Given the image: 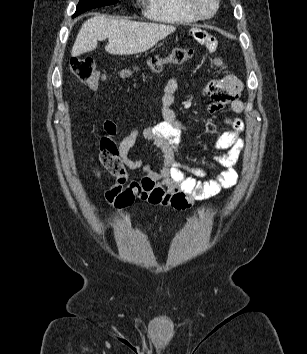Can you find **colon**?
<instances>
[{
	"label": "colon",
	"mask_w": 307,
	"mask_h": 354,
	"mask_svg": "<svg viewBox=\"0 0 307 354\" xmlns=\"http://www.w3.org/2000/svg\"><path fill=\"white\" fill-rule=\"evenodd\" d=\"M191 50L185 48H176L166 56H155L149 61V67L153 72H159L165 64H180L190 59ZM72 74L82 83L92 87L99 88L103 83V75L96 66L94 60L90 57H77L70 61ZM126 74L130 71L126 70Z\"/></svg>",
	"instance_id": "obj_1"
}]
</instances>
